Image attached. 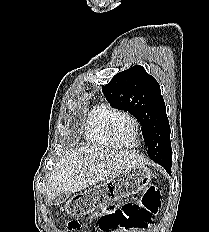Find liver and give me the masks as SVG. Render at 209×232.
I'll list each match as a JSON object with an SVG mask.
<instances>
[{"label":"liver","mask_w":209,"mask_h":232,"mask_svg":"<svg viewBox=\"0 0 209 232\" xmlns=\"http://www.w3.org/2000/svg\"><path fill=\"white\" fill-rule=\"evenodd\" d=\"M145 164L147 160L135 151L82 147L64 154L54 166L46 187L48 200L81 191Z\"/></svg>","instance_id":"liver-1"}]
</instances>
